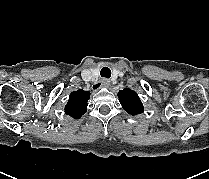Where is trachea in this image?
<instances>
[{"label": "trachea", "mask_w": 209, "mask_h": 179, "mask_svg": "<svg viewBox=\"0 0 209 179\" xmlns=\"http://www.w3.org/2000/svg\"><path fill=\"white\" fill-rule=\"evenodd\" d=\"M101 77L110 78L111 70L108 67H103L100 72Z\"/></svg>", "instance_id": "trachea-1"}]
</instances>
